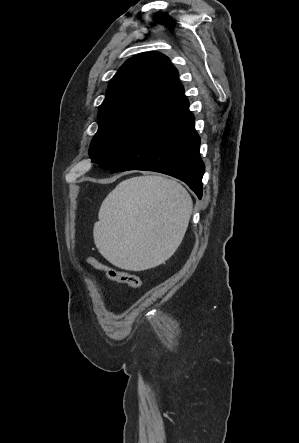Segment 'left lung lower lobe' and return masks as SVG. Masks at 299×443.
Here are the masks:
<instances>
[{"label":"left lung lower lobe","instance_id":"1","mask_svg":"<svg viewBox=\"0 0 299 443\" xmlns=\"http://www.w3.org/2000/svg\"><path fill=\"white\" fill-rule=\"evenodd\" d=\"M199 146L194 116L183 93L111 168V173L128 170L164 173L184 181L201 199L205 166Z\"/></svg>","mask_w":299,"mask_h":443}]
</instances>
